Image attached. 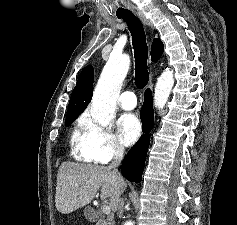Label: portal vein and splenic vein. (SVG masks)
<instances>
[{
    "mask_svg": "<svg viewBox=\"0 0 237 225\" xmlns=\"http://www.w3.org/2000/svg\"><path fill=\"white\" fill-rule=\"evenodd\" d=\"M101 210H102V212H103L104 214H110V213H111V208H110V206H108V205H103V206L101 207Z\"/></svg>",
    "mask_w": 237,
    "mask_h": 225,
    "instance_id": "portal-vein-and-splenic-vein-1",
    "label": "portal vein and splenic vein"
}]
</instances>
